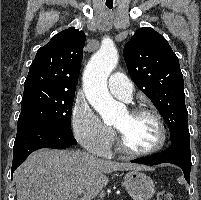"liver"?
<instances>
[{"mask_svg": "<svg viewBox=\"0 0 201 200\" xmlns=\"http://www.w3.org/2000/svg\"><path fill=\"white\" fill-rule=\"evenodd\" d=\"M142 169L147 168L99 159L81 151L41 149L15 173L17 200H89L108 184L107 174Z\"/></svg>", "mask_w": 201, "mask_h": 200, "instance_id": "obj_1", "label": "liver"}]
</instances>
